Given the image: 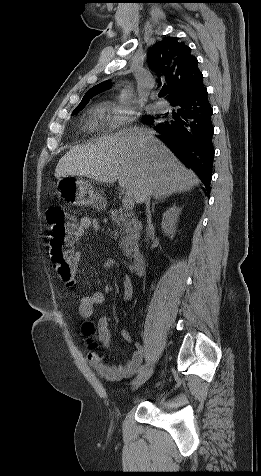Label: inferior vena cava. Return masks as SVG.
<instances>
[{
  "instance_id": "obj_1",
  "label": "inferior vena cava",
  "mask_w": 261,
  "mask_h": 476,
  "mask_svg": "<svg viewBox=\"0 0 261 476\" xmlns=\"http://www.w3.org/2000/svg\"><path fill=\"white\" fill-rule=\"evenodd\" d=\"M145 203H146V211H147V223H148V232H147V235L149 236L150 235V230H151V214H150V196L147 195L146 199H145Z\"/></svg>"
}]
</instances>
